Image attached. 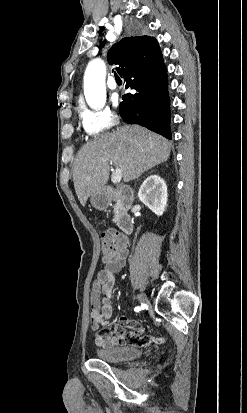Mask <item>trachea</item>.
<instances>
[{
    "label": "trachea",
    "instance_id": "1",
    "mask_svg": "<svg viewBox=\"0 0 247 413\" xmlns=\"http://www.w3.org/2000/svg\"><path fill=\"white\" fill-rule=\"evenodd\" d=\"M115 79L120 80V77L115 73Z\"/></svg>",
    "mask_w": 247,
    "mask_h": 413
}]
</instances>
